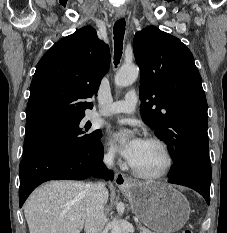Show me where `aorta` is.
Instances as JSON below:
<instances>
[{"instance_id": "762f6f07", "label": "aorta", "mask_w": 227, "mask_h": 233, "mask_svg": "<svg viewBox=\"0 0 227 233\" xmlns=\"http://www.w3.org/2000/svg\"><path fill=\"white\" fill-rule=\"evenodd\" d=\"M139 69L138 67L123 66L119 69L115 76V85L118 87H126L133 84L138 78ZM111 233H122L119 221L114 219L111 222Z\"/></svg>"}]
</instances>
